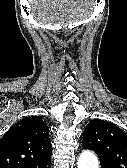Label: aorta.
<instances>
[{"instance_id":"1","label":"aorta","mask_w":127,"mask_h":168,"mask_svg":"<svg viewBox=\"0 0 127 168\" xmlns=\"http://www.w3.org/2000/svg\"><path fill=\"white\" fill-rule=\"evenodd\" d=\"M78 168H99L96 155L91 151H83L78 159Z\"/></svg>"}]
</instances>
